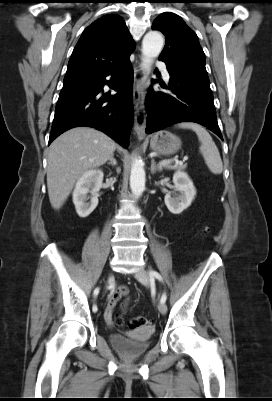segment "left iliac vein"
Returning a JSON list of instances; mask_svg holds the SVG:
<instances>
[{
	"label": "left iliac vein",
	"instance_id": "1",
	"mask_svg": "<svg viewBox=\"0 0 272 401\" xmlns=\"http://www.w3.org/2000/svg\"><path fill=\"white\" fill-rule=\"evenodd\" d=\"M135 278L141 282L144 285H148L150 282L149 275L144 269H140L135 273ZM158 310L160 311L161 314H166L167 312V307L165 303H162L161 301L158 303Z\"/></svg>",
	"mask_w": 272,
	"mask_h": 401
}]
</instances>
